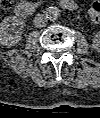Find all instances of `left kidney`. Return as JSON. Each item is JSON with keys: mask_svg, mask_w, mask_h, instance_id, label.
<instances>
[{"mask_svg": "<svg viewBox=\"0 0 100 118\" xmlns=\"http://www.w3.org/2000/svg\"><path fill=\"white\" fill-rule=\"evenodd\" d=\"M93 43L95 46H99V43H100V34L99 33H96L93 37Z\"/></svg>", "mask_w": 100, "mask_h": 118, "instance_id": "left-kidney-1", "label": "left kidney"}]
</instances>
